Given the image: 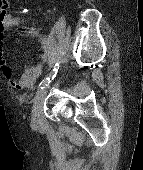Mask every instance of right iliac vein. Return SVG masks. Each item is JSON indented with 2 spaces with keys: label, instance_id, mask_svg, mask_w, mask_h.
Listing matches in <instances>:
<instances>
[{
  "label": "right iliac vein",
  "instance_id": "right-iliac-vein-1",
  "mask_svg": "<svg viewBox=\"0 0 143 170\" xmlns=\"http://www.w3.org/2000/svg\"><path fill=\"white\" fill-rule=\"evenodd\" d=\"M49 85L40 89L32 107V123L34 126H40L42 122L43 103L48 91Z\"/></svg>",
  "mask_w": 143,
  "mask_h": 170
}]
</instances>
